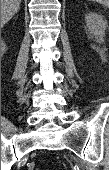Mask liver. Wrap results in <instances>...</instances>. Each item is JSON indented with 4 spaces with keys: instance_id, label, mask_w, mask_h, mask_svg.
Instances as JSON below:
<instances>
[{
    "instance_id": "liver-1",
    "label": "liver",
    "mask_w": 109,
    "mask_h": 170,
    "mask_svg": "<svg viewBox=\"0 0 109 170\" xmlns=\"http://www.w3.org/2000/svg\"><path fill=\"white\" fill-rule=\"evenodd\" d=\"M21 0H1V25H5L20 8Z\"/></svg>"
}]
</instances>
